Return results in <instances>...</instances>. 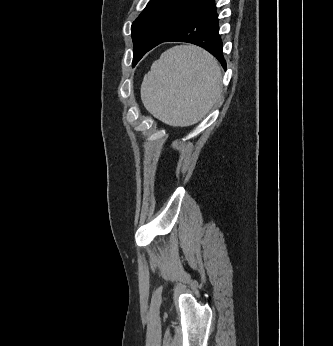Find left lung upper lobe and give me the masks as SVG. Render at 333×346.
<instances>
[{"instance_id": "5c2ea615", "label": "left lung upper lobe", "mask_w": 333, "mask_h": 346, "mask_svg": "<svg viewBox=\"0 0 333 346\" xmlns=\"http://www.w3.org/2000/svg\"><path fill=\"white\" fill-rule=\"evenodd\" d=\"M210 0H150L133 22V66L149 48L170 35Z\"/></svg>"}]
</instances>
